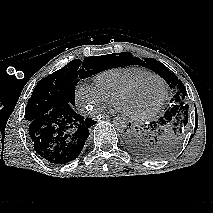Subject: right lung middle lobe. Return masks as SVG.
Here are the masks:
<instances>
[{"label": "right lung middle lobe", "instance_id": "right-lung-middle-lobe-1", "mask_svg": "<svg viewBox=\"0 0 213 213\" xmlns=\"http://www.w3.org/2000/svg\"><path fill=\"white\" fill-rule=\"evenodd\" d=\"M113 55L115 54L86 57L83 61L73 60L40 80L25 109L26 123L59 106L66 104L75 106V86L79 80L109 69Z\"/></svg>", "mask_w": 213, "mask_h": 213}]
</instances>
